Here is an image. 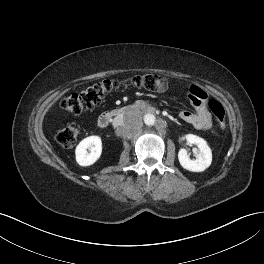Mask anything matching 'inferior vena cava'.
<instances>
[{
  "label": "inferior vena cava",
  "instance_id": "1",
  "mask_svg": "<svg viewBox=\"0 0 264 264\" xmlns=\"http://www.w3.org/2000/svg\"><path fill=\"white\" fill-rule=\"evenodd\" d=\"M125 125V120L122 117H116L113 120V126L116 128H122Z\"/></svg>",
  "mask_w": 264,
  "mask_h": 264
}]
</instances>
